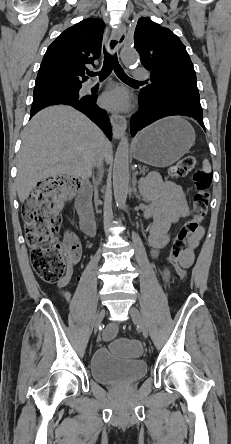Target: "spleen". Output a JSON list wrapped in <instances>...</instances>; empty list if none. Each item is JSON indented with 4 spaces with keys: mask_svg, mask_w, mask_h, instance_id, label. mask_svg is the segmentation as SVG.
<instances>
[{
    "mask_svg": "<svg viewBox=\"0 0 231 444\" xmlns=\"http://www.w3.org/2000/svg\"><path fill=\"white\" fill-rule=\"evenodd\" d=\"M203 171H204L205 173H209V172L211 171V167H210V164H209V162H208L207 159H205V160L203 161Z\"/></svg>",
    "mask_w": 231,
    "mask_h": 444,
    "instance_id": "3e777b00",
    "label": "spleen"
}]
</instances>
